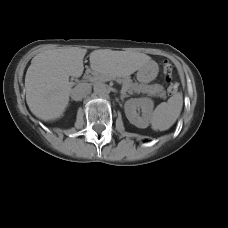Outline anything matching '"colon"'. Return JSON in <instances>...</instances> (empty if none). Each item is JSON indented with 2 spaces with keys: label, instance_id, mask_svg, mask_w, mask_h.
Instances as JSON below:
<instances>
[{
  "label": "colon",
  "instance_id": "1",
  "mask_svg": "<svg viewBox=\"0 0 228 228\" xmlns=\"http://www.w3.org/2000/svg\"><path fill=\"white\" fill-rule=\"evenodd\" d=\"M172 72H173V67L170 63L165 62L163 64V73L165 75V78L167 81H170L172 78ZM178 90V85L176 83H172L168 87V94L173 95L177 92Z\"/></svg>",
  "mask_w": 228,
  "mask_h": 228
}]
</instances>
